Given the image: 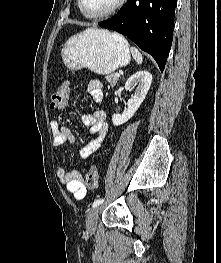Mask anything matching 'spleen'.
Returning <instances> with one entry per match:
<instances>
[{
    "mask_svg": "<svg viewBox=\"0 0 221 263\" xmlns=\"http://www.w3.org/2000/svg\"><path fill=\"white\" fill-rule=\"evenodd\" d=\"M131 53H132V56H133L134 60L138 64H141L143 62L142 54L140 53V51L137 48L131 47Z\"/></svg>",
    "mask_w": 221,
    "mask_h": 263,
    "instance_id": "spleen-1",
    "label": "spleen"
}]
</instances>
